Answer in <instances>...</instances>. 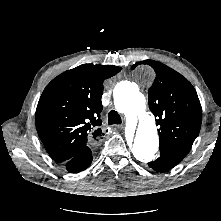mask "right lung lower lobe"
<instances>
[{"instance_id": "1", "label": "right lung lower lobe", "mask_w": 221, "mask_h": 221, "mask_svg": "<svg viewBox=\"0 0 221 221\" xmlns=\"http://www.w3.org/2000/svg\"><path fill=\"white\" fill-rule=\"evenodd\" d=\"M92 159V151L90 147H87L63 164L69 172L77 173L87 169L90 166Z\"/></svg>"}]
</instances>
